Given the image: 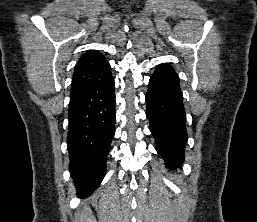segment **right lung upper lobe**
<instances>
[{"instance_id":"obj_1","label":"right lung upper lobe","mask_w":257,"mask_h":222,"mask_svg":"<svg viewBox=\"0 0 257 222\" xmlns=\"http://www.w3.org/2000/svg\"><path fill=\"white\" fill-rule=\"evenodd\" d=\"M110 72V64L102 54L95 50L87 51L75 65L71 94L96 84Z\"/></svg>"}]
</instances>
